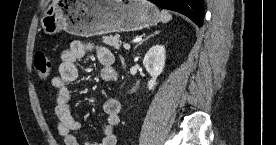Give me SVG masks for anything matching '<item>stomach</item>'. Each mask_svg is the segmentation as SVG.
<instances>
[{
	"mask_svg": "<svg viewBox=\"0 0 276 145\" xmlns=\"http://www.w3.org/2000/svg\"><path fill=\"white\" fill-rule=\"evenodd\" d=\"M160 20L158 8L146 0H58L45 10L41 26L48 35L64 30L91 37L136 31Z\"/></svg>",
	"mask_w": 276,
	"mask_h": 145,
	"instance_id": "stomach-1",
	"label": "stomach"
}]
</instances>
